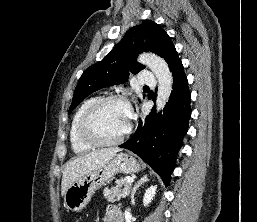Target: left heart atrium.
Here are the masks:
<instances>
[{"label":"left heart atrium","mask_w":257,"mask_h":222,"mask_svg":"<svg viewBox=\"0 0 257 222\" xmlns=\"http://www.w3.org/2000/svg\"><path fill=\"white\" fill-rule=\"evenodd\" d=\"M129 117H131V112L129 111Z\"/></svg>","instance_id":"obj_1"}]
</instances>
